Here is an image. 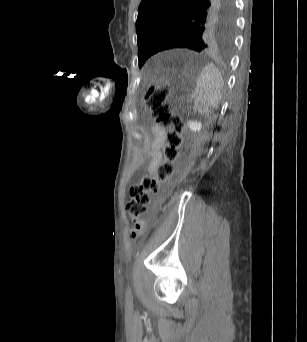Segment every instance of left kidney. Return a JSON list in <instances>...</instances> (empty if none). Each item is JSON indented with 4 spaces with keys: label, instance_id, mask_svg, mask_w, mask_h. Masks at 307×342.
<instances>
[{
    "label": "left kidney",
    "instance_id": "left-kidney-1",
    "mask_svg": "<svg viewBox=\"0 0 307 342\" xmlns=\"http://www.w3.org/2000/svg\"><path fill=\"white\" fill-rule=\"evenodd\" d=\"M187 126L188 128H190V130H192V132H200L202 128L201 122H192V120H190V122H187Z\"/></svg>",
    "mask_w": 307,
    "mask_h": 342
}]
</instances>
